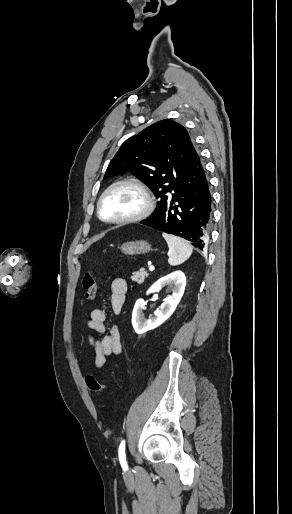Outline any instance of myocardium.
Returning a JSON list of instances; mask_svg holds the SVG:
<instances>
[{"instance_id":"f54148a6","label":"myocardium","mask_w":292,"mask_h":514,"mask_svg":"<svg viewBox=\"0 0 292 514\" xmlns=\"http://www.w3.org/2000/svg\"><path fill=\"white\" fill-rule=\"evenodd\" d=\"M120 187H128V188H132V189H135L136 191H138L142 196L143 204H142L141 208L138 211L134 212L133 214H130L128 216L121 217V218L106 219L102 215L103 201L107 197L108 194H110L113 190L120 188ZM152 209H153V200H152L150 192L148 191V189L142 182L135 180V179L121 180V181H117V182L111 184L103 191V193L100 195L99 200L97 202L98 217L102 221H104L106 223H110V224H127V223L141 220V219L145 218L146 216H148L151 213Z\"/></svg>"}]
</instances>
